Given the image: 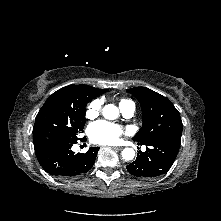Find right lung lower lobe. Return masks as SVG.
Listing matches in <instances>:
<instances>
[{"instance_id":"obj_1","label":"right lung lower lobe","mask_w":221,"mask_h":221,"mask_svg":"<svg viewBox=\"0 0 221 221\" xmlns=\"http://www.w3.org/2000/svg\"><path fill=\"white\" fill-rule=\"evenodd\" d=\"M82 140V139H80ZM72 142H54L35 150L42 168L50 175L62 179L76 178L88 172L94 165L99 147L89 148L86 153H74Z\"/></svg>"}]
</instances>
